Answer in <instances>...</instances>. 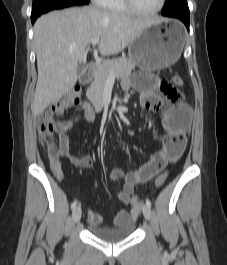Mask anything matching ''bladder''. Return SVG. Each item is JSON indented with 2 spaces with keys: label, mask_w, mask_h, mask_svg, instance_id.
I'll return each instance as SVG.
<instances>
[{
  "label": "bladder",
  "mask_w": 227,
  "mask_h": 265,
  "mask_svg": "<svg viewBox=\"0 0 227 265\" xmlns=\"http://www.w3.org/2000/svg\"><path fill=\"white\" fill-rule=\"evenodd\" d=\"M89 232L97 239L107 243H117L128 239L135 230V224L130 221L123 225H117L115 227H100L90 225L88 227Z\"/></svg>",
  "instance_id": "bladder-1"
}]
</instances>
